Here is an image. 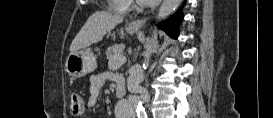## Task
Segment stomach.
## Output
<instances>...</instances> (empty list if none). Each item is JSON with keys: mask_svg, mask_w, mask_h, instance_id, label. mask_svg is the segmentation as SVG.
<instances>
[{"mask_svg": "<svg viewBox=\"0 0 273 118\" xmlns=\"http://www.w3.org/2000/svg\"><path fill=\"white\" fill-rule=\"evenodd\" d=\"M137 28L129 26L127 31L131 34L137 32ZM67 73L73 78L83 77L93 72L96 67V57L90 49H81L71 52L65 63Z\"/></svg>", "mask_w": 273, "mask_h": 118, "instance_id": "stomach-1", "label": "stomach"}]
</instances>
